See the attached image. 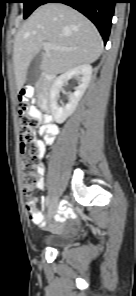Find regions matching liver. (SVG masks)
I'll return each mask as SVG.
<instances>
[{"label": "liver", "instance_id": "6515ba94", "mask_svg": "<svg viewBox=\"0 0 136 296\" xmlns=\"http://www.w3.org/2000/svg\"><path fill=\"white\" fill-rule=\"evenodd\" d=\"M66 50H45L41 71L48 76L95 62L103 51L102 38L94 24L77 10L62 3L39 6L15 36L13 63L17 90L26 82L27 69L43 43Z\"/></svg>", "mask_w": 136, "mask_h": 296}]
</instances>
